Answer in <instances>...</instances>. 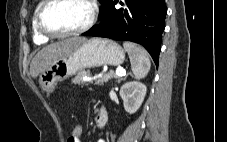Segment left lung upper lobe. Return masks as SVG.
<instances>
[{"label": "left lung upper lobe", "mask_w": 227, "mask_h": 142, "mask_svg": "<svg viewBox=\"0 0 227 142\" xmlns=\"http://www.w3.org/2000/svg\"><path fill=\"white\" fill-rule=\"evenodd\" d=\"M99 1H100V3L102 4V7H103V8L100 10V12H99V17H100L102 10L107 6V4H108L111 0H99Z\"/></svg>", "instance_id": "1"}]
</instances>
